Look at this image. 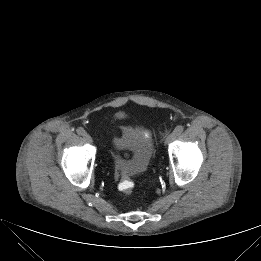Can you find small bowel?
<instances>
[{"label":"small bowel","mask_w":261,"mask_h":261,"mask_svg":"<svg viewBox=\"0 0 261 261\" xmlns=\"http://www.w3.org/2000/svg\"><path fill=\"white\" fill-rule=\"evenodd\" d=\"M119 144H120V145L123 144V141H120Z\"/></svg>","instance_id":"1"}]
</instances>
